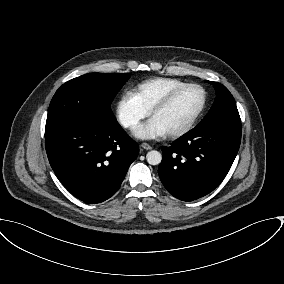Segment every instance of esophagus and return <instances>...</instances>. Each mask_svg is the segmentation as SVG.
<instances>
[{
	"label": "esophagus",
	"mask_w": 284,
	"mask_h": 284,
	"mask_svg": "<svg viewBox=\"0 0 284 284\" xmlns=\"http://www.w3.org/2000/svg\"><path fill=\"white\" fill-rule=\"evenodd\" d=\"M141 148L145 149V150H151L152 147L148 144V143H142Z\"/></svg>",
	"instance_id": "esophagus-1"
}]
</instances>
